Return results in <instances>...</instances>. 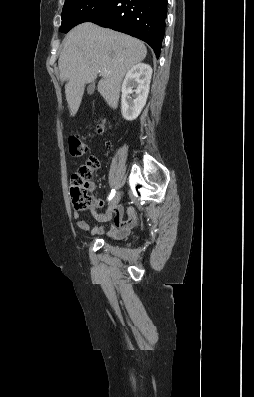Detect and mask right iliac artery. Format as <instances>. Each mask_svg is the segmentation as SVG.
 <instances>
[{"instance_id": "obj_1", "label": "right iliac artery", "mask_w": 254, "mask_h": 397, "mask_svg": "<svg viewBox=\"0 0 254 397\" xmlns=\"http://www.w3.org/2000/svg\"><path fill=\"white\" fill-rule=\"evenodd\" d=\"M114 195H115V190L113 189L108 196V200H111L114 197Z\"/></svg>"}]
</instances>
